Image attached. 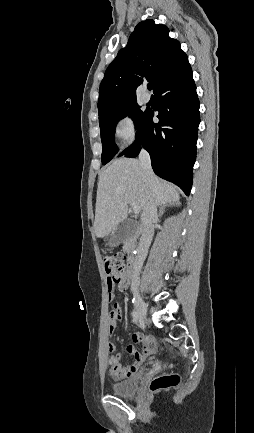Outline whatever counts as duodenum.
<instances>
[{"label": "duodenum", "mask_w": 254, "mask_h": 433, "mask_svg": "<svg viewBox=\"0 0 254 433\" xmlns=\"http://www.w3.org/2000/svg\"><path fill=\"white\" fill-rule=\"evenodd\" d=\"M128 264L131 277L134 278V276L136 275V260L133 256L129 257Z\"/></svg>", "instance_id": "duodenum-1"}]
</instances>
